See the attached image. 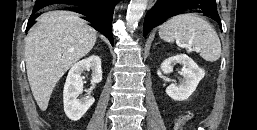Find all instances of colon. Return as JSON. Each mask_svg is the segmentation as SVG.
Segmentation results:
<instances>
[{
    "mask_svg": "<svg viewBox=\"0 0 257 130\" xmlns=\"http://www.w3.org/2000/svg\"><path fill=\"white\" fill-rule=\"evenodd\" d=\"M193 118L192 113H186L177 118L173 125V130H184L185 125Z\"/></svg>",
    "mask_w": 257,
    "mask_h": 130,
    "instance_id": "1",
    "label": "colon"
}]
</instances>
